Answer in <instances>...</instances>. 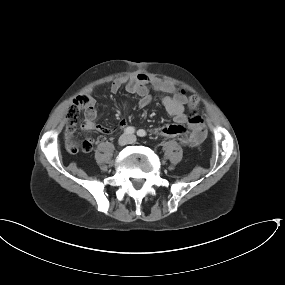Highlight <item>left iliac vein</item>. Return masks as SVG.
I'll list each match as a JSON object with an SVG mask.
<instances>
[{"instance_id": "1", "label": "left iliac vein", "mask_w": 285, "mask_h": 285, "mask_svg": "<svg viewBox=\"0 0 285 285\" xmlns=\"http://www.w3.org/2000/svg\"><path fill=\"white\" fill-rule=\"evenodd\" d=\"M135 140H136V139H135V137H134V136H130V141H129L130 143H134V142H135Z\"/></svg>"}]
</instances>
